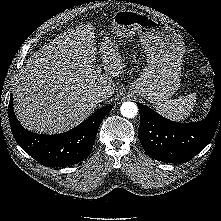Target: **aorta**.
Returning <instances> with one entry per match:
<instances>
[{
    "label": "aorta",
    "mask_w": 221,
    "mask_h": 221,
    "mask_svg": "<svg viewBox=\"0 0 221 221\" xmlns=\"http://www.w3.org/2000/svg\"><path fill=\"white\" fill-rule=\"evenodd\" d=\"M121 114L126 118H134L138 113V107L131 101L124 102L120 107Z\"/></svg>",
    "instance_id": "aorta-1"
}]
</instances>
